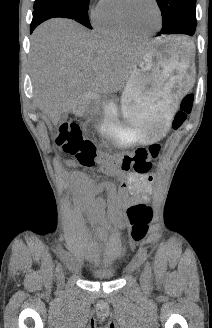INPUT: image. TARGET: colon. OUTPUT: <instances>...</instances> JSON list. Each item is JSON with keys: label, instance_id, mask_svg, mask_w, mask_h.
I'll return each instance as SVG.
<instances>
[{"label": "colon", "instance_id": "5ec220e1", "mask_svg": "<svg viewBox=\"0 0 212 328\" xmlns=\"http://www.w3.org/2000/svg\"><path fill=\"white\" fill-rule=\"evenodd\" d=\"M194 96L185 95L176 112L172 127L178 130L182 127L192 110ZM56 144L66 153L74 156L84 167L95 165L98 173H112L113 170H134L137 173L149 172L152 162L159 158L162 146L154 143L149 146L136 148L132 153H105L97 143L85 136L82 128L76 122L60 125L55 137ZM128 217L132 224L130 237L133 242L141 241L148 230L152 217V209L145 205H134L128 209Z\"/></svg>", "mask_w": 212, "mask_h": 328}]
</instances>
